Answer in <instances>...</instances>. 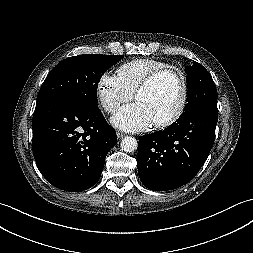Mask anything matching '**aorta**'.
Returning <instances> with one entry per match:
<instances>
[{
  "mask_svg": "<svg viewBox=\"0 0 253 253\" xmlns=\"http://www.w3.org/2000/svg\"><path fill=\"white\" fill-rule=\"evenodd\" d=\"M138 143L137 140L131 136H127L121 141V148L125 152H133L137 149Z\"/></svg>",
  "mask_w": 253,
  "mask_h": 253,
  "instance_id": "1",
  "label": "aorta"
}]
</instances>
